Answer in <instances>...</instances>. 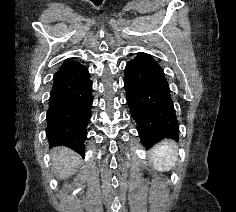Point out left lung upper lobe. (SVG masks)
<instances>
[{"label": "left lung upper lobe", "instance_id": "5c2ea615", "mask_svg": "<svg viewBox=\"0 0 236 212\" xmlns=\"http://www.w3.org/2000/svg\"><path fill=\"white\" fill-rule=\"evenodd\" d=\"M150 138H152V139H153V138H154V136H150Z\"/></svg>", "mask_w": 236, "mask_h": 212}]
</instances>
